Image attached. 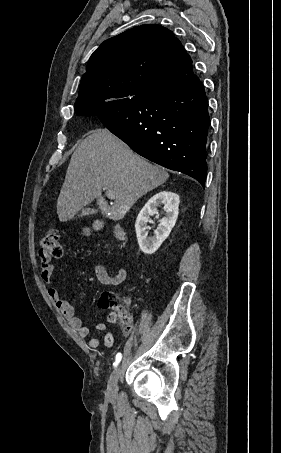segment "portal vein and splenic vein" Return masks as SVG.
I'll list each match as a JSON object with an SVG mask.
<instances>
[{"label":"portal vein and splenic vein","instance_id":"obj_1","mask_svg":"<svg viewBox=\"0 0 281 453\" xmlns=\"http://www.w3.org/2000/svg\"><path fill=\"white\" fill-rule=\"evenodd\" d=\"M106 196L108 198H115L116 194H114L113 190H106Z\"/></svg>","mask_w":281,"mask_h":453}]
</instances>
